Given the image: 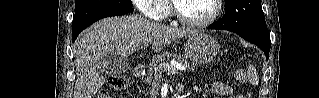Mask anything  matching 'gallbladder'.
Returning a JSON list of instances; mask_svg holds the SVG:
<instances>
[{
  "mask_svg": "<svg viewBox=\"0 0 319 98\" xmlns=\"http://www.w3.org/2000/svg\"><path fill=\"white\" fill-rule=\"evenodd\" d=\"M99 68L103 73H119L127 68V59L123 56L103 55L99 61Z\"/></svg>",
  "mask_w": 319,
  "mask_h": 98,
  "instance_id": "bac80fb5",
  "label": "gallbladder"
}]
</instances>
